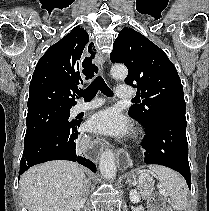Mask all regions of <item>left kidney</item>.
<instances>
[{
	"instance_id": "5707ae66",
	"label": "left kidney",
	"mask_w": 209,
	"mask_h": 211,
	"mask_svg": "<svg viewBox=\"0 0 209 211\" xmlns=\"http://www.w3.org/2000/svg\"><path fill=\"white\" fill-rule=\"evenodd\" d=\"M129 198L132 203H138L140 202L139 194L137 193V190H131L129 194Z\"/></svg>"
}]
</instances>
